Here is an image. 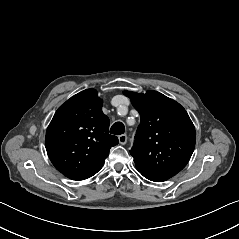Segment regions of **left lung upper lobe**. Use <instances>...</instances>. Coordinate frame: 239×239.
<instances>
[{"label": "left lung upper lobe", "mask_w": 239, "mask_h": 239, "mask_svg": "<svg viewBox=\"0 0 239 239\" xmlns=\"http://www.w3.org/2000/svg\"><path fill=\"white\" fill-rule=\"evenodd\" d=\"M139 112L135 143L130 151L136 168L177 174L190 160L196 132L186 110L157 91H124Z\"/></svg>", "instance_id": "5c2ea615"}]
</instances>
